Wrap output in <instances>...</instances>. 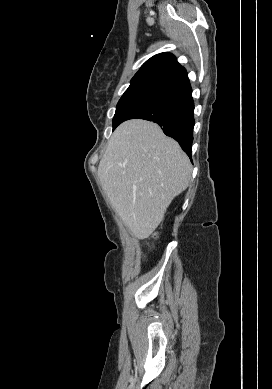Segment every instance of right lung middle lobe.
I'll list each match as a JSON object with an SVG mask.
<instances>
[{
  "instance_id": "obj_1",
  "label": "right lung middle lobe",
  "mask_w": 272,
  "mask_h": 389,
  "mask_svg": "<svg viewBox=\"0 0 272 389\" xmlns=\"http://www.w3.org/2000/svg\"><path fill=\"white\" fill-rule=\"evenodd\" d=\"M162 87L155 83L130 84L117 104L113 118V130L122 122V119L133 107Z\"/></svg>"
}]
</instances>
